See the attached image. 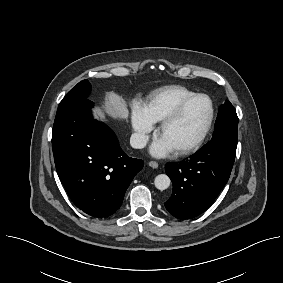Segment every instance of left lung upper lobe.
<instances>
[{
  "label": "left lung upper lobe",
  "instance_id": "left-lung-upper-lobe-1",
  "mask_svg": "<svg viewBox=\"0 0 283 283\" xmlns=\"http://www.w3.org/2000/svg\"><path fill=\"white\" fill-rule=\"evenodd\" d=\"M238 117L233 105L226 101L219 108L210 143H220L233 150L237 147Z\"/></svg>",
  "mask_w": 283,
  "mask_h": 283
}]
</instances>
